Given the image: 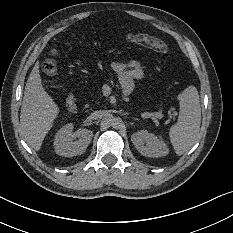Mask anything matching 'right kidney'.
<instances>
[{
  "label": "right kidney",
  "mask_w": 233,
  "mask_h": 233,
  "mask_svg": "<svg viewBox=\"0 0 233 233\" xmlns=\"http://www.w3.org/2000/svg\"><path fill=\"white\" fill-rule=\"evenodd\" d=\"M73 128V123H67L59 128L55 134L53 146L58 155L74 157L86 151L93 137V132L83 129L73 133ZM75 139L78 140L74 141Z\"/></svg>",
  "instance_id": "right-kidney-1"
}]
</instances>
